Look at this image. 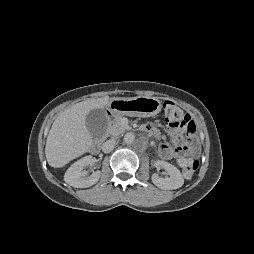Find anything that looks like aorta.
<instances>
[{
    "instance_id": "1",
    "label": "aorta",
    "mask_w": 254,
    "mask_h": 254,
    "mask_svg": "<svg viewBox=\"0 0 254 254\" xmlns=\"http://www.w3.org/2000/svg\"><path fill=\"white\" fill-rule=\"evenodd\" d=\"M134 139H135V136H134V134H132V133H127V134L124 136V142H125L126 144H131V143H133Z\"/></svg>"
}]
</instances>
